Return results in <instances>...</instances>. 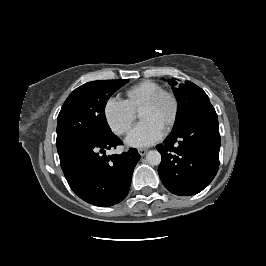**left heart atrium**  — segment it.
I'll return each mask as SVG.
<instances>
[{
  "instance_id": "left-heart-atrium-1",
  "label": "left heart atrium",
  "mask_w": 266,
  "mask_h": 266,
  "mask_svg": "<svg viewBox=\"0 0 266 266\" xmlns=\"http://www.w3.org/2000/svg\"><path fill=\"white\" fill-rule=\"evenodd\" d=\"M164 135V127L154 119L143 120L129 133L126 142L129 146L145 147L159 141Z\"/></svg>"
}]
</instances>
